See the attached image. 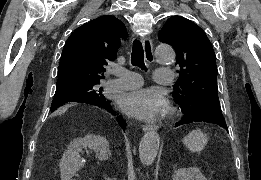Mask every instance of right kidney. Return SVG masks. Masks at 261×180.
<instances>
[{
	"mask_svg": "<svg viewBox=\"0 0 261 180\" xmlns=\"http://www.w3.org/2000/svg\"><path fill=\"white\" fill-rule=\"evenodd\" d=\"M83 148H90V150L96 152V158H99V160H108L109 156H111L109 142L103 136L89 134L85 138H76L68 146L65 156L60 160L61 180H70L72 178L77 166L81 164L80 152H82Z\"/></svg>",
	"mask_w": 261,
	"mask_h": 180,
	"instance_id": "1",
	"label": "right kidney"
}]
</instances>
